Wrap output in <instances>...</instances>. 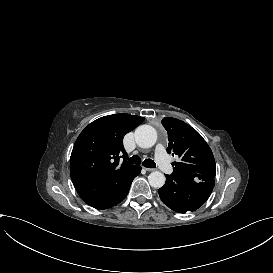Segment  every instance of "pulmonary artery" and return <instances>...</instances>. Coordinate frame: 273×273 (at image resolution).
<instances>
[{
	"instance_id": "1",
	"label": "pulmonary artery",
	"mask_w": 273,
	"mask_h": 273,
	"mask_svg": "<svg viewBox=\"0 0 273 273\" xmlns=\"http://www.w3.org/2000/svg\"><path fill=\"white\" fill-rule=\"evenodd\" d=\"M155 150L157 153V162L160 166V168H162L164 170V172H166L167 177L172 178L175 175V171L173 169V166L170 162V160H168V156L165 153L166 149L165 147H163V145L158 144L155 147Z\"/></svg>"
}]
</instances>
